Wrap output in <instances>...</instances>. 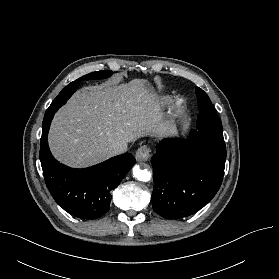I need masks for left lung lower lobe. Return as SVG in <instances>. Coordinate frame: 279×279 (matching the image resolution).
<instances>
[{"mask_svg": "<svg viewBox=\"0 0 279 279\" xmlns=\"http://www.w3.org/2000/svg\"><path fill=\"white\" fill-rule=\"evenodd\" d=\"M156 149L151 158L154 211L166 219L196 213L221 186L225 144L192 130L187 141L163 139Z\"/></svg>", "mask_w": 279, "mask_h": 279, "instance_id": "left-lung-lower-lobe-1", "label": "left lung lower lobe"}]
</instances>
